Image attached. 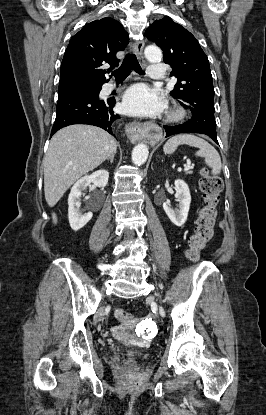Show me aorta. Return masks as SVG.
Segmentation results:
<instances>
[{"label": "aorta", "instance_id": "obj_1", "mask_svg": "<svg viewBox=\"0 0 266 415\" xmlns=\"http://www.w3.org/2000/svg\"><path fill=\"white\" fill-rule=\"evenodd\" d=\"M145 57L150 62H159L162 58L161 50L156 46H148L144 51ZM148 147L145 144H138L132 151V161L136 165H142L148 158Z\"/></svg>", "mask_w": 266, "mask_h": 415}]
</instances>
